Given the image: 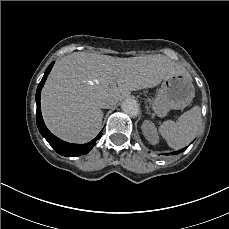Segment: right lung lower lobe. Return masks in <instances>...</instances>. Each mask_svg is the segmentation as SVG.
<instances>
[{"instance_id": "obj_1", "label": "right lung lower lobe", "mask_w": 229, "mask_h": 229, "mask_svg": "<svg viewBox=\"0 0 229 229\" xmlns=\"http://www.w3.org/2000/svg\"><path fill=\"white\" fill-rule=\"evenodd\" d=\"M54 62H52L46 69L44 76L39 83L37 90H36V103H37V111H36V122L38 129L41 135L47 140V142L53 147V149L60 155L63 156H80L87 154L93 146L96 144V141L100 138L101 132L89 143L86 144H71L61 139L57 138L53 135L46 127L42 114H41V106H40V95L41 89L47 79L48 74L50 73Z\"/></svg>"}]
</instances>
